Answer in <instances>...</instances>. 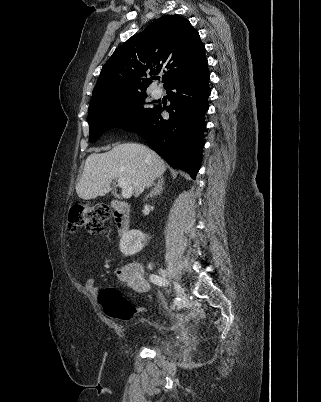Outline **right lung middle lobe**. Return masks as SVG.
Wrapping results in <instances>:
<instances>
[{
    "label": "right lung middle lobe",
    "instance_id": "obj_1",
    "mask_svg": "<svg viewBox=\"0 0 321 402\" xmlns=\"http://www.w3.org/2000/svg\"><path fill=\"white\" fill-rule=\"evenodd\" d=\"M145 96L146 92H139L89 107L90 142L109 129L132 126L151 113L156 106L147 108Z\"/></svg>",
    "mask_w": 321,
    "mask_h": 402
}]
</instances>
